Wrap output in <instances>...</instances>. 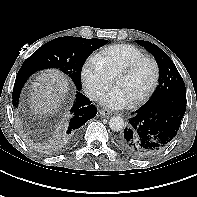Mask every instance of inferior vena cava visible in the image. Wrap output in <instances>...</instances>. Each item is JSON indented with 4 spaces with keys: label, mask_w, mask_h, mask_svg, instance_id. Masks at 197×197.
<instances>
[{
    "label": "inferior vena cava",
    "mask_w": 197,
    "mask_h": 197,
    "mask_svg": "<svg viewBox=\"0 0 197 197\" xmlns=\"http://www.w3.org/2000/svg\"><path fill=\"white\" fill-rule=\"evenodd\" d=\"M87 96L90 100H97L100 97V93L96 91L87 92Z\"/></svg>",
    "instance_id": "602c4592"
}]
</instances>
